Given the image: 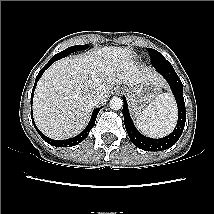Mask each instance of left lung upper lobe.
I'll list each match as a JSON object with an SVG mask.
<instances>
[{
    "label": "left lung upper lobe",
    "mask_w": 214,
    "mask_h": 214,
    "mask_svg": "<svg viewBox=\"0 0 214 214\" xmlns=\"http://www.w3.org/2000/svg\"><path fill=\"white\" fill-rule=\"evenodd\" d=\"M151 63L154 68H172V65L158 51L148 48Z\"/></svg>",
    "instance_id": "left-lung-upper-lobe-1"
}]
</instances>
